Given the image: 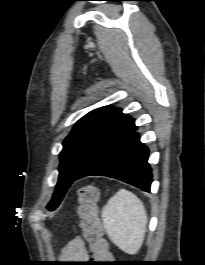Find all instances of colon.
<instances>
[{
    "mask_svg": "<svg viewBox=\"0 0 205 265\" xmlns=\"http://www.w3.org/2000/svg\"><path fill=\"white\" fill-rule=\"evenodd\" d=\"M99 196V189L95 184H88L79 189L77 213L83 235L92 252L91 265H105L111 259L109 244L99 218Z\"/></svg>",
    "mask_w": 205,
    "mask_h": 265,
    "instance_id": "5ec220e1",
    "label": "colon"
}]
</instances>
